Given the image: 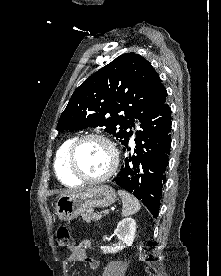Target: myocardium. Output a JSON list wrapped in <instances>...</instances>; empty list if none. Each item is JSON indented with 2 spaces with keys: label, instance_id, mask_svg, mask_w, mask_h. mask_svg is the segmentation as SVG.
<instances>
[{
  "label": "myocardium",
  "instance_id": "f54148a6",
  "mask_svg": "<svg viewBox=\"0 0 221 276\" xmlns=\"http://www.w3.org/2000/svg\"><path fill=\"white\" fill-rule=\"evenodd\" d=\"M100 140L104 142L110 149L112 154V163L109 169L102 175L98 177H88L84 175L78 168L76 164V152L78 147L87 140ZM67 167L73 177L81 182L86 183H100L109 179L117 170L119 164V154L115 144L105 135L98 133H89L75 138L70 144L67 151Z\"/></svg>",
  "mask_w": 221,
  "mask_h": 276
}]
</instances>
